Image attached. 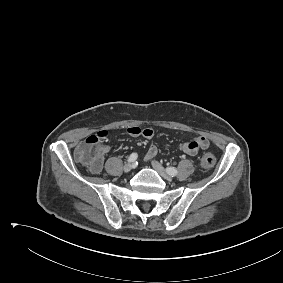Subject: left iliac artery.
Segmentation results:
<instances>
[{"label":"left iliac artery","mask_w":283,"mask_h":283,"mask_svg":"<svg viewBox=\"0 0 283 283\" xmlns=\"http://www.w3.org/2000/svg\"><path fill=\"white\" fill-rule=\"evenodd\" d=\"M167 172H168L169 175L175 176V175H177L178 171H177V169L175 167H168L167 168Z\"/></svg>","instance_id":"1"}]
</instances>
